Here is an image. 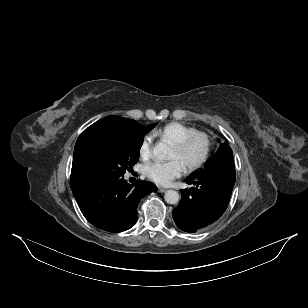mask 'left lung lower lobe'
<instances>
[{
  "instance_id": "0a47b994",
  "label": "left lung lower lobe",
  "mask_w": 308,
  "mask_h": 308,
  "mask_svg": "<svg viewBox=\"0 0 308 308\" xmlns=\"http://www.w3.org/2000/svg\"><path fill=\"white\" fill-rule=\"evenodd\" d=\"M234 161L222 160L187 179L195 187L181 190L172 216L178 228L194 233L215 222L226 210L235 184Z\"/></svg>"
}]
</instances>
